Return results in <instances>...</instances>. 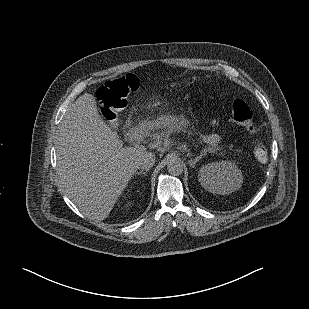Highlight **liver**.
I'll use <instances>...</instances> for the list:
<instances>
[{
  "mask_svg": "<svg viewBox=\"0 0 309 309\" xmlns=\"http://www.w3.org/2000/svg\"><path fill=\"white\" fill-rule=\"evenodd\" d=\"M57 163L65 193L87 217L102 221L151 152L123 148L118 134L100 116L95 97L85 93L69 107L60 125Z\"/></svg>",
  "mask_w": 309,
  "mask_h": 309,
  "instance_id": "6515ba94",
  "label": "liver"
}]
</instances>
